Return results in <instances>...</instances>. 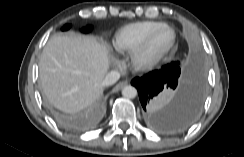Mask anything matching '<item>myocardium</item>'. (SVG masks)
<instances>
[{"instance_id":"obj_1","label":"myocardium","mask_w":244,"mask_h":157,"mask_svg":"<svg viewBox=\"0 0 244 157\" xmlns=\"http://www.w3.org/2000/svg\"><path fill=\"white\" fill-rule=\"evenodd\" d=\"M162 30H169L171 32V38L162 48L153 53H148L150 44L154 37ZM175 41L174 30L168 25H162L153 30L147 38L135 49L131 51L130 61L131 64L137 69H146L153 66L163 54L173 45Z\"/></svg>"}]
</instances>
